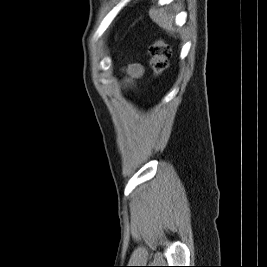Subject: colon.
Instances as JSON below:
<instances>
[{
	"mask_svg": "<svg viewBox=\"0 0 267 267\" xmlns=\"http://www.w3.org/2000/svg\"><path fill=\"white\" fill-rule=\"evenodd\" d=\"M150 64L156 76H161L169 66L171 47L162 39L155 40L149 46Z\"/></svg>",
	"mask_w": 267,
	"mask_h": 267,
	"instance_id": "5ec220e1",
	"label": "colon"
}]
</instances>
